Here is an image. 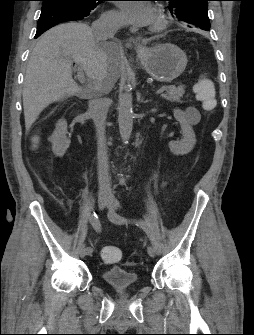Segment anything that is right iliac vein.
Listing matches in <instances>:
<instances>
[{
  "mask_svg": "<svg viewBox=\"0 0 254 335\" xmlns=\"http://www.w3.org/2000/svg\"><path fill=\"white\" fill-rule=\"evenodd\" d=\"M108 204H109V198H108V196L105 193L99 194V196H98V206H99V209H101V210L104 209ZM78 255H79L80 258H84L87 255L86 245L85 244H82L79 247Z\"/></svg>",
  "mask_w": 254,
  "mask_h": 335,
  "instance_id": "1",
  "label": "right iliac vein"
}]
</instances>
